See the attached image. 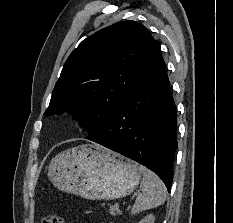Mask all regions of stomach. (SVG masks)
<instances>
[{"instance_id": "obj_1", "label": "stomach", "mask_w": 233, "mask_h": 223, "mask_svg": "<svg viewBox=\"0 0 233 223\" xmlns=\"http://www.w3.org/2000/svg\"><path fill=\"white\" fill-rule=\"evenodd\" d=\"M142 167L100 145H78L53 157L48 171L52 183L86 199H118L136 189Z\"/></svg>"}]
</instances>
